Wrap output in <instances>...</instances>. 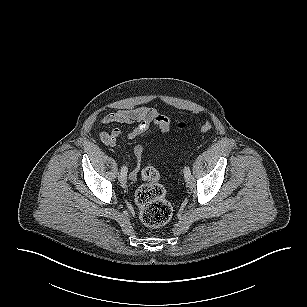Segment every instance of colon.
I'll return each instance as SVG.
<instances>
[{"label": "colon", "mask_w": 307, "mask_h": 307, "mask_svg": "<svg viewBox=\"0 0 307 307\" xmlns=\"http://www.w3.org/2000/svg\"><path fill=\"white\" fill-rule=\"evenodd\" d=\"M184 127V124H180ZM212 129L210 122L201 125L200 131L208 133ZM144 183L135 193V203L138 207L141 221L149 227H159L166 224L172 216V205L166 199L164 187L160 184V174L153 166H147L142 171Z\"/></svg>", "instance_id": "colon-1"}]
</instances>
